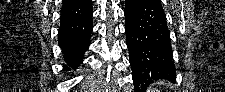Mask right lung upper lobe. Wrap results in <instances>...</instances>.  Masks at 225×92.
Listing matches in <instances>:
<instances>
[{"instance_id":"1","label":"right lung upper lobe","mask_w":225,"mask_h":92,"mask_svg":"<svg viewBox=\"0 0 225 92\" xmlns=\"http://www.w3.org/2000/svg\"><path fill=\"white\" fill-rule=\"evenodd\" d=\"M93 11L91 0H63L60 22L77 20Z\"/></svg>"}]
</instances>
